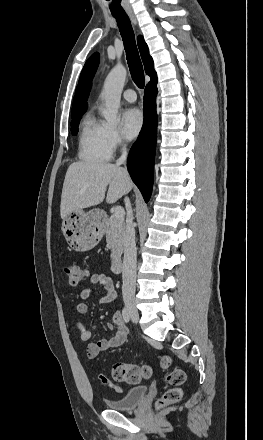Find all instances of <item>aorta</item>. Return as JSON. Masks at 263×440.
I'll return each mask as SVG.
<instances>
[{
  "instance_id": "obj_1",
  "label": "aorta",
  "mask_w": 263,
  "mask_h": 440,
  "mask_svg": "<svg viewBox=\"0 0 263 440\" xmlns=\"http://www.w3.org/2000/svg\"><path fill=\"white\" fill-rule=\"evenodd\" d=\"M126 76V68L118 64L110 71L104 82L101 93V99L105 103L103 116L111 125H116L119 121L118 109Z\"/></svg>"
}]
</instances>
